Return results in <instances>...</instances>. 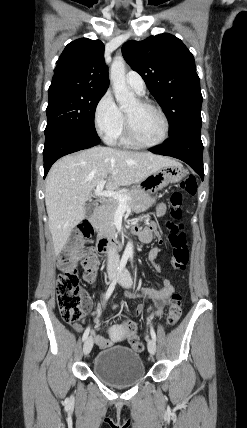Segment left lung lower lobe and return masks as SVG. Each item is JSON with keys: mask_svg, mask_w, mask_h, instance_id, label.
Instances as JSON below:
<instances>
[{"mask_svg": "<svg viewBox=\"0 0 247 428\" xmlns=\"http://www.w3.org/2000/svg\"><path fill=\"white\" fill-rule=\"evenodd\" d=\"M155 154L171 156L186 162L204 179L201 129H189L170 138L164 145L150 149Z\"/></svg>", "mask_w": 247, "mask_h": 428, "instance_id": "left-lung-lower-lobe-1", "label": "left lung lower lobe"}]
</instances>
